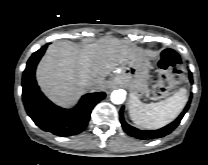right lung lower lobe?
I'll return each mask as SVG.
<instances>
[{
	"instance_id": "right-lung-lower-lobe-1",
	"label": "right lung lower lobe",
	"mask_w": 208,
	"mask_h": 165,
	"mask_svg": "<svg viewBox=\"0 0 208 165\" xmlns=\"http://www.w3.org/2000/svg\"><path fill=\"white\" fill-rule=\"evenodd\" d=\"M47 45L33 53L27 62L22 77V99L27 114L42 130L62 137L82 132L90 119L94 106L105 98L104 92L84 95L72 110L54 105L40 91L36 80V66L43 56Z\"/></svg>"
}]
</instances>
